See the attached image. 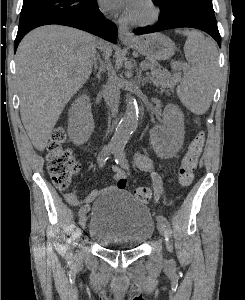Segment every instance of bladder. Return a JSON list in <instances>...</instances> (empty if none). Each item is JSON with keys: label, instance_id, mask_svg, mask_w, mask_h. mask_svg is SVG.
Returning <instances> with one entry per match:
<instances>
[{"label": "bladder", "instance_id": "31cf9c89", "mask_svg": "<svg viewBox=\"0 0 245 300\" xmlns=\"http://www.w3.org/2000/svg\"><path fill=\"white\" fill-rule=\"evenodd\" d=\"M155 232L149 208L129 192L112 189L95 200L87 233L102 247L132 250L148 242Z\"/></svg>", "mask_w": 245, "mask_h": 300}]
</instances>
